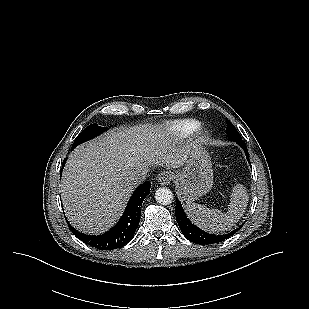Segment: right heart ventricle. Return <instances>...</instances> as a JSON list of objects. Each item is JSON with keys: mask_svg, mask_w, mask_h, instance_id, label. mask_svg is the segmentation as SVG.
<instances>
[{"mask_svg": "<svg viewBox=\"0 0 309 309\" xmlns=\"http://www.w3.org/2000/svg\"><path fill=\"white\" fill-rule=\"evenodd\" d=\"M200 128V123L193 119L175 121L168 125V130L175 136H188Z\"/></svg>", "mask_w": 309, "mask_h": 309, "instance_id": "right-heart-ventricle-1", "label": "right heart ventricle"}]
</instances>
